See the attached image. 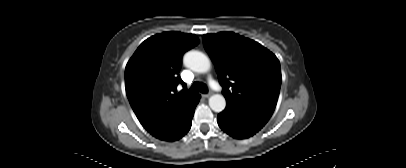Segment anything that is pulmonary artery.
Returning <instances> with one entry per match:
<instances>
[{
    "instance_id": "pulmonary-artery-1",
    "label": "pulmonary artery",
    "mask_w": 406,
    "mask_h": 168,
    "mask_svg": "<svg viewBox=\"0 0 406 168\" xmlns=\"http://www.w3.org/2000/svg\"><path fill=\"white\" fill-rule=\"evenodd\" d=\"M209 83H210V85H211V87L214 89V90H220V86L218 85V83H216L215 81H213V80H209Z\"/></svg>"
}]
</instances>
